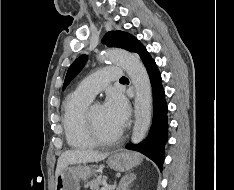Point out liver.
I'll return each instance as SVG.
<instances>
[{
  "label": "liver",
  "instance_id": "obj_1",
  "mask_svg": "<svg viewBox=\"0 0 234 190\" xmlns=\"http://www.w3.org/2000/svg\"><path fill=\"white\" fill-rule=\"evenodd\" d=\"M107 156V153H99L92 150L77 149L65 151L58 159L55 175L57 177L66 166L77 163L99 162L104 160Z\"/></svg>",
  "mask_w": 234,
  "mask_h": 190
}]
</instances>
